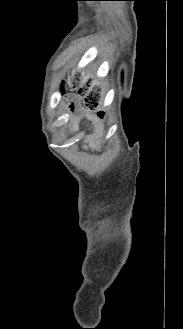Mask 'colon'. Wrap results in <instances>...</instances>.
Here are the masks:
<instances>
[{"label": "colon", "mask_w": 183, "mask_h": 329, "mask_svg": "<svg viewBox=\"0 0 183 329\" xmlns=\"http://www.w3.org/2000/svg\"><path fill=\"white\" fill-rule=\"evenodd\" d=\"M62 62V61H61ZM70 62H62V67L64 68H68L70 67ZM61 67V68H62ZM55 91L57 93H66L67 88L66 86H57L55 88ZM84 96H85V102H67L66 107L67 109H85L87 107V105L91 108H94L97 106L98 100H99V93L97 90H91V91H87L84 92ZM66 97L68 99H72L74 97V94L72 92H68L66 94Z\"/></svg>", "instance_id": "colon-1"}]
</instances>
